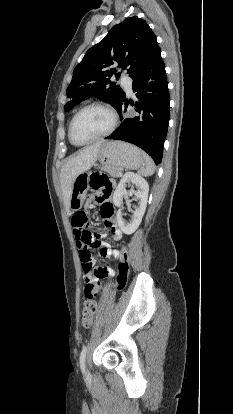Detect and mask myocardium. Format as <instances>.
Returning a JSON list of instances; mask_svg holds the SVG:
<instances>
[{"instance_id":"obj_1","label":"myocardium","mask_w":233,"mask_h":414,"mask_svg":"<svg viewBox=\"0 0 233 414\" xmlns=\"http://www.w3.org/2000/svg\"><path fill=\"white\" fill-rule=\"evenodd\" d=\"M92 108H97V109H101V110L105 111L110 116V126L108 127V129L105 132L99 134L98 136H96L92 139H89V140H86V141H83V142H76L73 139V135H72L74 123H75L76 119L78 118V116L82 112H84L88 109H92ZM118 123H119L118 114L116 113V111L112 107H110L108 105H105V104H102V103L93 102V103L87 104V105L83 106L82 108H80L75 113L73 118L71 119V122H70V125H69V131H68L69 139L74 145H78V146L87 145V144L99 141L101 139H104V138L108 137L109 135H111L116 130V128L118 126Z\"/></svg>"}]
</instances>
